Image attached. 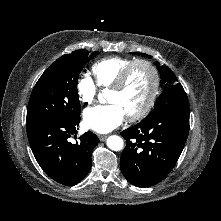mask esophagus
I'll list each match as a JSON object with an SVG mask.
<instances>
[{
  "label": "esophagus",
  "instance_id": "esophagus-1",
  "mask_svg": "<svg viewBox=\"0 0 221 221\" xmlns=\"http://www.w3.org/2000/svg\"><path fill=\"white\" fill-rule=\"evenodd\" d=\"M98 137H99L100 141H104L107 138L106 135H99Z\"/></svg>",
  "mask_w": 221,
  "mask_h": 221
}]
</instances>
